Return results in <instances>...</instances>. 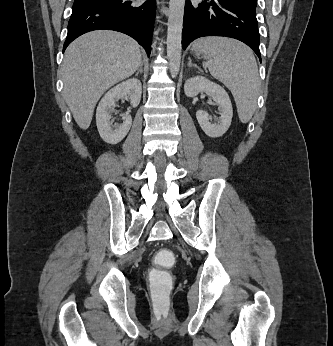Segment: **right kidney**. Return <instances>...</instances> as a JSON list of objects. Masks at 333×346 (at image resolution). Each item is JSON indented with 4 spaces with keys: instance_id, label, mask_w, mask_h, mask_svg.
Masks as SVG:
<instances>
[{
    "instance_id": "obj_1",
    "label": "right kidney",
    "mask_w": 333,
    "mask_h": 346,
    "mask_svg": "<svg viewBox=\"0 0 333 346\" xmlns=\"http://www.w3.org/2000/svg\"><path fill=\"white\" fill-rule=\"evenodd\" d=\"M142 85L140 80L132 78L110 89L101 99L96 111V124L101 138L110 144L119 143L129 132L132 125L130 115L123 116V123L111 127V112L116 102L129 96L132 107H137L141 100Z\"/></svg>"
}]
</instances>
